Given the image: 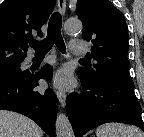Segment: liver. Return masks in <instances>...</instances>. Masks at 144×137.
<instances>
[{
    "label": "liver",
    "instance_id": "1",
    "mask_svg": "<svg viewBox=\"0 0 144 137\" xmlns=\"http://www.w3.org/2000/svg\"><path fill=\"white\" fill-rule=\"evenodd\" d=\"M42 129L19 113L0 110V137H42Z\"/></svg>",
    "mask_w": 144,
    "mask_h": 137
}]
</instances>
